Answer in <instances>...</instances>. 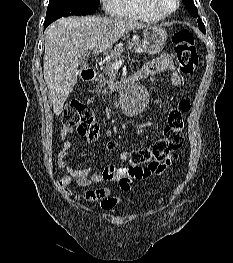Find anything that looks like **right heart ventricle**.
I'll return each mask as SVG.
<instances>
[{"mask_svg": "<svg viewBox=\"0 0 233 263\" xmlns=\"http://www.w3.org/2000/svg\"><path fill=\"white\" fill-rule=\"evenodd\" d=\"M114 13L134 20L154 22L163 19L151 6L149 0H116Z\"/></svg>", "mask_w": 233, "mask_h": 263, "instance_id": "1", "label": "right heart ventricle"}]
</instances>
